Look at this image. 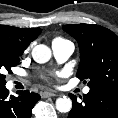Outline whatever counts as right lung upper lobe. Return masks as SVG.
<instances>
[{"label":"right lung upper lobe","mask_w":118,"mask_h":118,"mask_svg":"<svg viewBox=\"0 0 118 118\" xmlns=\"http://www.w3.org/2000/svg\"><path fill=\"white\" fill-rule=\"evenodd\" d=\"M40 33V28L24 29L0 25V43H5L18 51L24 52Z\"/></svg>","instance_id":"right-lung-upper-lobe-1"}]
</instances>
